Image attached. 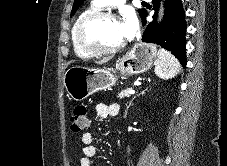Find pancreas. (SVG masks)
<instances>
[{"mask_svg": "<svg viewBox=\"0 0 227 166\" xmlns=\"http://www.w3.org/2000/svg\"><path fill=\"white\" fill-rule=\"evenodd\" d=\"M129 91H130L129 88H128V89H125V90H123V91H121V92L118 94V97H119L120 99L125 98V97H129V96H130Z\"/></svg>", "mask_w": 227, "mask_h": 166, "instance_id": "1", "label": "pancreas"}]
</instances>
